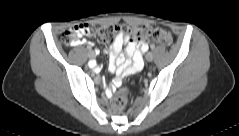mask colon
<instances>
[{
    "mask_svg": "<svg viewBox=\"0 0 239 136\" xmlns=\"http://www.w3.org/2000/svg\"><path fill=\"white\" fill-rule=\"evenodd\" d=\"M120 32L116 25L90 26L88 24H78L67 29L62 36V41L66 45H74L82 35L93 34L103 41H114ZM127 33L133 41L153 40L162 45L169 46L172 43V36L166 30L149 26H132L127 28ZM127 103V91L120 87L111 99V108L115 112L124 109Z\"/></svg>",
    "mask_w": 239,
    "mask_h": 136,
    "instance_id": "5ec220e1",
    "label": "colon"
}]
</instances>
